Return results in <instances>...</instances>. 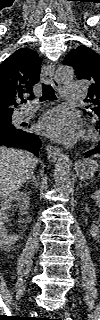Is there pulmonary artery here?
<instances>
[{
    "mask_svg": "<svg viewBox=\"0 0 100 320\" xmlns=\"http://www.w3.org/2000/svg\"><path fill=\"white\" fill-rule=\"evenodd\" d=\"M84 92L81 83H69L62 89V97L65 101H75L79 99ZM38 109L37 104H28L23 111V116L27 117Z\"/></svg>",
    "mask_w": 100,
    "mask_h": 320,
    "instance_id": "pulmonary-artery-1",
    "label": "pulmonary artery"
}]
</instances>
